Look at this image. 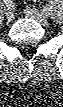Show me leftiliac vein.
<instances>
[{
    "instance_id": "1",
    "label": "left iliac vein",
    "mask_w": 63,
    "mask_h": 107,
    "mask_svg": "<svg viewBox=\"0 0 63 107\" xmlns=\"http://www.w3.org/2000/svg\"><path fill=\"white\" fill-rule=\"evenodd\" d=\"M25 14L28 17H31V18L37 20L42 25H47L48 24L47 17L42 12H40L39 10H37L35 8H26L25 9Z\"/></svg>"
}]
</instances>
